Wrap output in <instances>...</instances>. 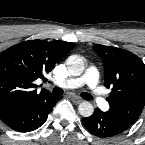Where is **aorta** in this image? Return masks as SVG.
<instances>
[{
    "mask_svg": "<svg viewBox=\"0 0 145 145\" xmlns=\"http://www.w3.org/2000/svg\"><path fill=\"white\" fill-rule=\"evenodd\" d=\"M68 70L71 75H81L85 69L83 59L80 56L72 55L67 60ZM78 111L83 117H90L94 108L91 103L85 101L79 104Z\"/></svg>",
    "mask_w": 145,
    "mask_h": 145,
    "instance_id": "762f6f07",
    "label": "aorta"
}]
</instances>
